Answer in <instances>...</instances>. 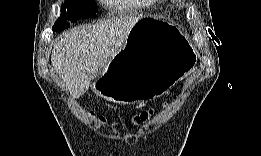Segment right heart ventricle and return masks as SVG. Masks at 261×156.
<instances>
[{
	"label": "right heart ventricle",
	"instance_id": "e07e8e85",
	"mask_svg": "<svg viewBox=\"0 0 261 156\" xmlns=\"http://www.w3.org/2000/svg\"><path fill=\"white\" fill-rule=\"evenodd\" d=\"M135 1L136 0H111V1H108V4L113 5V6H118L121 8H125Z\"/></svg>",
	"mask_w": 261,
	"mask_h": 156
}]
</instances>
